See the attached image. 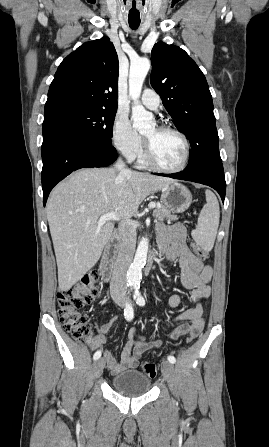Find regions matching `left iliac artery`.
I'll list each match as a JSON object with an SVG mask.
<instances>
[{"mask_svg":"<svg viewBox=\"0 0 269 447\" xmlns=\"http://www.w3.org/2000/svg\"><path fill=\"white\" fill-rule=\"evenodd\" d=\"M133 288H134V299L136 300V303L139 306H144L145 305V299L143 298V296L141 295L139 289H140V283L139 282H134L133 283ZM168 361L170 363H175L176 359L174 356H168Z\"/></svg>","mask_w":269,"mask_h":447,"instance_id":"left-iliac-artery-1","label":"left iliac artery"}]
</instances>
